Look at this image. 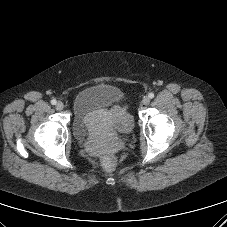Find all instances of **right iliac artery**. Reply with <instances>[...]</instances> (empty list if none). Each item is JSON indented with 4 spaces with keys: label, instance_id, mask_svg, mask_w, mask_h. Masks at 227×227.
Wrapping results in <instances>:
<instances>
[{
    "label": "right iliac artery",
    "instance_id": "right-iliac-artery-1",
    "mask_svg": "<svg viewBox=\"0 0 227 227\" xmlns=\"http://www.w3.org/2000/svg\"><path fill=\"white\" fill-rule=\"evenodd\" d=\"M51 104L52 105H56L57 104V101L55 99L51 100Z\"/></svg>",
    "mask_w": 227,
    "mask_h": 227
}]
</instances>
